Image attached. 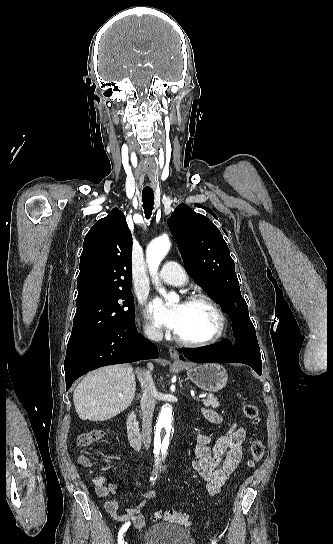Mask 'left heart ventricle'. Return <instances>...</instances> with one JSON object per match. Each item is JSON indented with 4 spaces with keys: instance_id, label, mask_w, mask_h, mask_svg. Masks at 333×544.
Listing matches in <instances>:
<instances>
[{
    "instance_id": "1",
    "label": "left heart ventricle",
    "mask_w": 333,
    "mask_h": 544,
    "mask_svg": "<svg viewBox=\"0 0 333 544\" xmlns=\"http://www.w3.org/2000/svg\"><path fill=\"white\" fill-rule=\"evenodd\" d=\"M217 326V316L207 303H185L176 333L184 339L200 341L210 338Z\"/></svg>"
}]
</instances>
